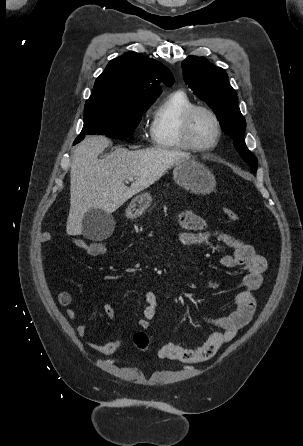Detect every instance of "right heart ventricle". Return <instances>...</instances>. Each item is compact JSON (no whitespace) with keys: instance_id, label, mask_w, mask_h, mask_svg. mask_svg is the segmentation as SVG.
<instances>
[{"instance_id":"1","label":"right heart ventricle","mask_w":303,"mask_h":446,"mask_svg":"<svg viewBox=\"0 0 303 446\" xmlns=\"http://www.w3.org/2000/svg\"><path fill=\"white\" fill-rule=\"evenodd\" d=\"M194 105L183 90L168 94L155 109L149 133L152 144L160 149L188 150L181 137V122L185 112Z\"/></svg>"}]
</instances>
